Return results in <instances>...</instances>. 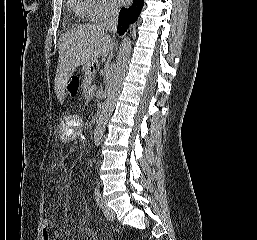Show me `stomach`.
<instances>
[{
  "label": "stomach",
  "mask_w": 257,
  "mask_h": 240,
  "mask_svg": "<svg viewBox=\"0 0 257 240\" xmlns=\"http://www.w3.org/2000/svg\"><path fill=\"white\" fill-rule=\"evenodd\" d=\"M89 68H90V67H85V69H84L85 72H88V73H89V72H90V71H89Z\"/></svg>",
  "instance_id": "0dacf381"
}]
</instances>
